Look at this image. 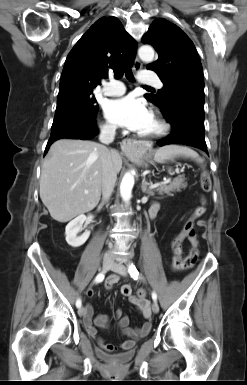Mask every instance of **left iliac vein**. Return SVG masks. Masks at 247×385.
<instances>
[{"label":"left iliac vein","mask_w":247,"mask_h":385,"mask_svg":"<svg viewBox=\"0 0 247 385\" xmlns=\"http://www.w3.org/2000/svg\"><path fill=\"white\" fill-rule=\"evenodd\" d=\"M111 270L122 275V276H126L127 275V269L125 267V265L122 263V262H114L111 266ZM152 311L154 313H158L159 312V305L156 301L153 302L152 304Z\"/></svg>","instance_id":"4c4485c4"}]
</instances>
